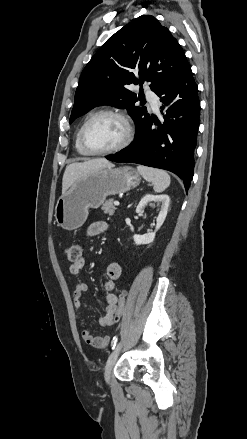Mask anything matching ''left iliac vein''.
<instances>
[{"mask_svg": "<svg viewBox=\"0 0 247 439\" xmlns=\"http://www.w3.org/2000/svg\"><path fill=\"white\" fill-rule=\"evenodd\" d=\"M121 348H122V342H119L107 360L106 367H105L106 381H109L112 368H113V366H114V364L119 356Z\"/></svg>", "mask_w": 247, "mask_h": 439, "instance_id": "left-iliac-vein-1", "label": "left iliac vein"}]
</instances>
